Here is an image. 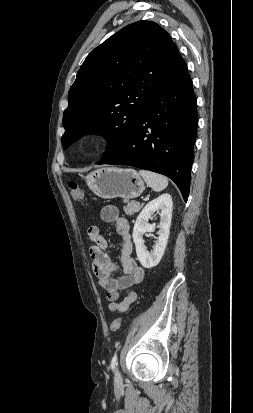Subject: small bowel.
<instances>
[{"instance_id": "1", "label": "small bowel", "mask_w": 253, "mask_h": 413, "mask_svg": "<svg viewBox=\"0 0 253 413\" xmlns=\"http://www.w3.org/2000/svg\"><path fill=\"white\" fill-rule=\"evenodd\" d=\"M101 218L106 223H112L121 237L120 267L124 274L115 277L119 266L111 260L107 253V239L97 226H91L87 230V236L91 242L89 254L92 261V270L98 279L99 285L106 290L109 310L125 312L137 299L135 287L143 281L144 270L132 256L133 244L129 233V224L125 218L119 215L117 207L113 205L103 207ZM121 290H125L126 294L121 301H118Z\"/></svg>"}]
</instances>
